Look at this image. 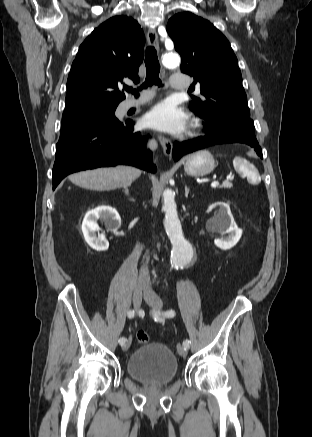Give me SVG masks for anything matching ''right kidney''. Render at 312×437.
<instances>
[{
	"label": "right kidney",
	"instance_id": "ca27d5eb",
	"mask_svg": "<svg viewBox=\"0 0 312 437\" xmlns=\"http://www.w3.org/2000/svg\"><path fill=\"white\" fill-rule=\"evenodd\" d=\"M98 220L105 223L108 231L117 232L121 226V218L116 209L111 206H98L88 211L82 222V232L87 244L97 250L104 251L109 247V242L103 234H96L100 230Z\"/></svg>",
	"mask_w": 312,
	"mask_h": 437
}]
</instances>
